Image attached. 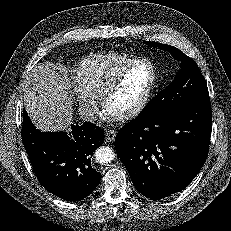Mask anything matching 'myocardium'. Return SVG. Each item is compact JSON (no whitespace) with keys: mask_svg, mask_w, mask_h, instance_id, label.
Listing matches in <instances>:
<instances>
[{"mask_svg":"<svg viewBox=\"0 0 231 231\" xmlns=\"http://www.w3.org/2000/svg\"><path fill=\"white\" fill-rule=\"evenodd\" d=\"M146 64L150 67L152 72V77L150 84L141 98L130 108L120 111L118 113H111L107 110V102L109 98L122 86L124 80L129 75V73L136 67ZM158 81V74L156 66L149 59L141 58L137 59L127 67H125L121 72H119L113 79H111L103 88L100 94V103L105 112H107L115 120H128L138 114L148 103L152 97Z\"/></svg>","mask_w":231,"mask_h":231,"instance_id":"1","label":"myocardium"}]
</instances>
